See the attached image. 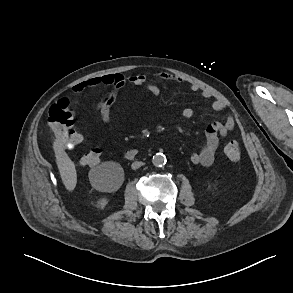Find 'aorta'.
I'll return each instance as SVG.
<instances>
[{
    "mask_svg": "<svg viewBox=\"0 0 293 293\" xmlns=\"http://www.w3.org/2000/svg\"><path fill=\"white\" fill-rule=\"evenodd\" d=\"M166 156L162 153H156L152 158V163L156 167H162L166 164Z\"/></svg>",
    "mask_w": 293,
    "mask_h": 293,
    "instance_id": "obj_1",
    "label": "aorta"
}]
</instances>
